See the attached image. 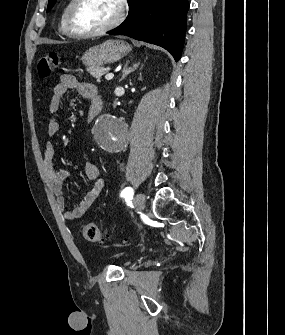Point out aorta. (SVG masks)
<instances>
[{"label":"aorta","instance_id":"aorta-1","mask_svg":"<svg viewBox=\"0 0 285 335\" xmlns=\"http://www.w3.org/2000/svg\"><path fill=\"white\" fill-rule=\"evenodd\" d=\"M90 134L95 137V147H103V152H124L130 130L123 119H114V112H101V119H92Z\"/></svg>","mask_w":285,"mask_h":335}]
</instances>
